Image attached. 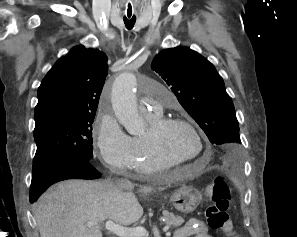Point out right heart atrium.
<instances>
[{
    "instance_id": "1",
    "label": "right heart atrium",
    "mask_w": 297,
    "mask_h": 237,
    "mask_svg": "<svg viewBox=\"0 0 297 237\" xmlns=\"http://www.w3.org/2000/svg\"><path fill=\"white\" fill-rule=\"evenodd\" d=\"M95 146L100 158L111 170L131 169L132 138L123 131L109 110H103L95 124Z\"/></svg>"
}]
</instances>
